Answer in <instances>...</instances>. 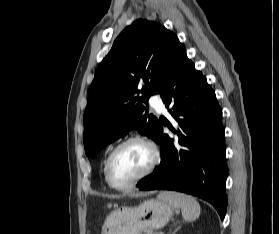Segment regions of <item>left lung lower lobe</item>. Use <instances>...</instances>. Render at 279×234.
Instances as JSON below:
<instances>
[{
  "instance_id": "left-lung-lower-lobe-1",
  "label": "left lung lower lobe",
  "mask_w": 279,
  "mask_h": 234,
  "mask_svg": "<svg viewBox=\"0 0 279 234\" xmlns=\"http://www.w3.org/2000/svg\"><path fill=\"white\" fill-rule=\"evenodd\" d=\"M158 93L177 122L176 135L163 134L159 123L155 141L161 163L137 186L140 190L181 191L210 202L224 218L227 208L226 148L222 110L206 77L195 69L182 47L162 80Z\"/></svg>"
}]
</instances>
